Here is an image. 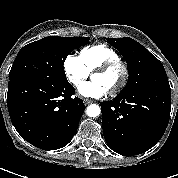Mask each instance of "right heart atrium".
<instances>
[{
    "instance_id": "d8ad5b80",
    "label": "right heart atrium",
    "mask_w": 178,
    "mask_h": 178,
    "mask_svg": "<svg viewBox=\"0 0 178 178\" xmlns=\"http://www.w3.org/2000/svg\"><path fill=\"white\" fill-rule=\"evenodd\" d=\"M63 70L67 80L74 86L80 85L86 80L90 72L79 56L68 55L63 62Z\"/></svg>"
}]
</instances>
